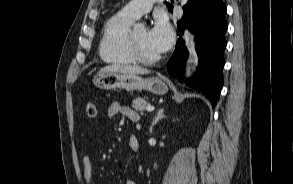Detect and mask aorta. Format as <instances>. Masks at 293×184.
<instances>
[{"label": "aorta", "instance_id": "aorta-1", "mask_svg": "<svg viewBox=\"0 0 293 184\" xmlns=\"http://www.w3.org/2000/svg\"><path fill=\"white\" fill-rule=\"evenodd\" d=\"M188 49H189V53L192 54V52H193V46H189ZM191 63H192V59H189L187 61V68H186L187 74L190 73V71H191Z\"/></svg>", "mask_w": 293, "mask_h": 184}]
</instances>
